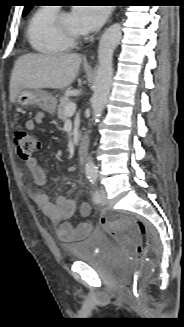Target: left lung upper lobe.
<instances>
[{
  "label": "left lung upper lobe",
  "mask_w": 184,
  "mask_h": 327,
  "mask_svg": "<svg viewBox=\"0 0 184 327\" xmlns=\"http://www.w3.org/2000/svg\"><path fill=\"white\" fill-rule=\"evenodd\" d=\"M32 9V5L28 4L24 7L23 16H25Z\"/></svg>",
  "instance_id": "1"
}]
</instances>
